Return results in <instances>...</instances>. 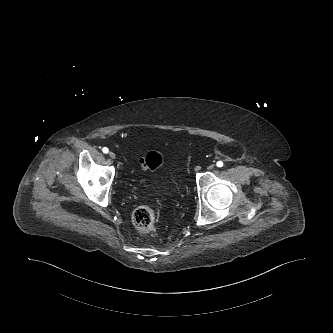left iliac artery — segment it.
<instances>
[{"mask_svg": "<svg viewBox=\"0 0 333 333\" xmlns=\"http://www.w3.org/2000/svg\"><path fill=\"white\" fill-rule=\"evenodd\" d=\"M216 165H217V167H222V166H223V162H222V161H218V162L216 163Z\"/></svg>", "mask_w": 333, "mask_h": 333, "instance_id": "44dca946", "label": "left iliac artery"}]
</instances>
